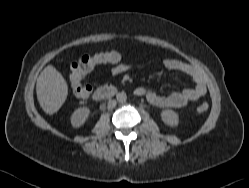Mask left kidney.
I'll list each match as a JSON object with an SVG mask.
<instances>
[{"instance_id":"5707ae66","label":"left kidney","mask_w":249,"mask_h":188,"mask_svg":"<svg viewBox=\"0 0 249 188\" xmlns=\"http://www.w3.org/2000/svg\"><path fill=\"white\" fill-rule=\"evenodd\" d=\"M161 119L166 125L171 127L178 126L179 124V116L173 110H163L161 112Z\"/></svg>"}]
</instances>
